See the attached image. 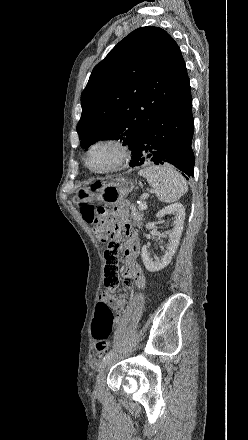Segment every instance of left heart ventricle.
<instances>
[{"mask_svg": "<svg viewBox=\"0 0 248 440\" xmlns=\"http://www.w3.org/2000/svg\"><path fill=\"white\" fill-rule=\"evenodd\" d=\"M115 152L112 148L101 147L96 149L89 158V164L93 168H104L113 162Z\"/></svg>", "mask_w": 248, "mask_h": 440, "instance_id": "obj_1", "label": "left heart ventricle"}]
</instances>
